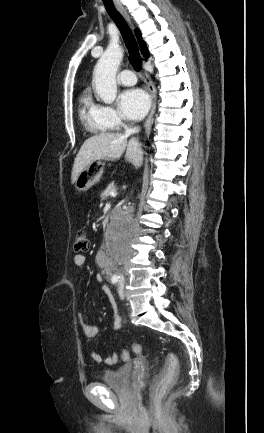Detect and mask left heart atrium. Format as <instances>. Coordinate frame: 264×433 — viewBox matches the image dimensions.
I'll return each instance as SVG.
<instances>
[{
	"mask_svg": "<svg viewBox=\"0 0 264 433\" xmlns=\"http://www.w3.org/2000/svg\"><path fill=\"white\" fill-rule=\"evenodd\" d=\"M121 114L132 121L140 120L147 113L150 101L147 94L137 88L128 89L118 97Z\"/></svg>",
	"mask_w": 264,
	"mask_h": 433,
	"instance_id": "1",
	"label": "left heart atrium"
}]
</instances>
